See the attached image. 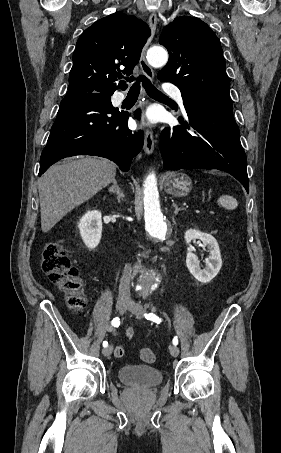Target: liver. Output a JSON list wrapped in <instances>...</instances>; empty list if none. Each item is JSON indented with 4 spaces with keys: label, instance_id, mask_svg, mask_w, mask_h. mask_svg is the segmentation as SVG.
Returning a JSON list of instances; mask_svg holds the SVG:
<instances>
[{
    "label": "liver",
    "instance_id": "obj_1",
    "mask_svg": "<svg viewBox=\"0 0 281 453\" xmlns=\"http://www.w3.org/2000/svg\"><path fill=\"white\" fill-rule=\"evenodd\" d=\"M116 164L108 158L83 156L71 162H56L39 182L41 229L51 231L67 212L92 198L115 180Z\"/></svg>",
    "mask_w": 281,
    "mask_h": 453
}]
</instances>
